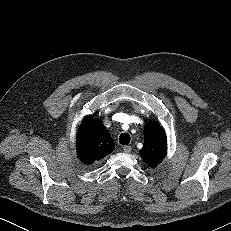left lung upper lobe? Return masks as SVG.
Listing matches in <instances>:
<instances>
[{"instance_id": "obj_1", "label": "left lung upper lobe", "mask_w": 231, "mask_h": 231, "mask_svg": "<svg viewBox=\"0 0 231 231\" xmlns=\"http://www.w3.org/2000/svg\"><path fill=\"white\" fill-rule=\"evenodd\" d=\"M139 152L150 167H156L163 160L167 153V138L162 126L154 121L145 124L144 147Z\"/></svg>"}]
</instances>
